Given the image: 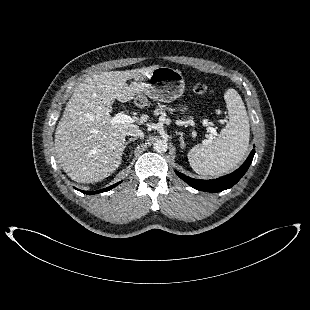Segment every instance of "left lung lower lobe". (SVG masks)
Returning a JSON list of instances; mask_svg holds the SVG:
<instances>
[{
	"mask_svg": "<svg viewBox=\"0 0 310 310\" xmlns=\"http://www.w3.org/2000/svg\"><path fill=\"white\" fill-rule=\"evenodd\" d=\"M255 151L252 150L247 160L233 173L214 180H198L190 178L175 170V173L193 188L207 192H221L235 185L248 170L252 163Z\"/></svg>",
	"mask_w": 310,
	"mask_h": 310,
	"instance_id": "obj_1",
	"label": "left lung lower lobe"
}]
</instances>
